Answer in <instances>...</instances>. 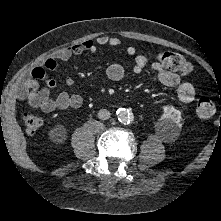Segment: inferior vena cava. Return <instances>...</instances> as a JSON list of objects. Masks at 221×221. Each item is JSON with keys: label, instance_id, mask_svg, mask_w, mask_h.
<instances>
[{"label": "inferior vena cava", "instance_id": "602c4592", "mask_svg": "<svg viewBox=\"0 0 221 221\" xmlns=\"http://www.w3.org/2000/svg\"><path fill=\"white\" fill-rule=\"evenodd\" d=\"M111 113L107 109H101L98 112V118L101 120H107L110 118Z\"/></svg>", "mask_w": 221, "mask_h": 221}]
</instances>
